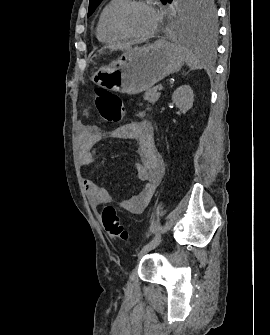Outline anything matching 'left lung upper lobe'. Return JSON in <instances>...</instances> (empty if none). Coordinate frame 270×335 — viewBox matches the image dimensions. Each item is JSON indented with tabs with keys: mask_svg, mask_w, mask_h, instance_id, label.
Masks as SVG:
<instances>
[{
	"mask_svg": "<svg viewBox=\"0 0 270 335\" xmlns=\"http://www.w3.org/2000/svg\"><path fill=\"white\" fill-rule=\"evenodd\" d=\"M103 0H90L87 17L91 16ZM163 4L172 0H161ZM181 16L184 24L191 30L202 33L215 31V7L212 0H183Z\"/></svg>",
	"mask_w": 270,
	"mask_h": 335,
	"instance_id": "obj_1",
	"label": "left lung upper lobe"
}]
</instances>
